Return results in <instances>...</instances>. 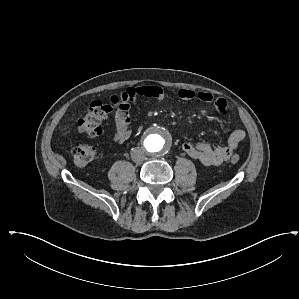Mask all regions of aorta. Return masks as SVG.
Here are the masks:
<instances>
[{
	"mask_svg": "<svg viewBox=\"0 0 299 299\" xmlns=\"http://www.w3.org/2000/svg\"><path fill=\"white\" fill-rule=\"evenodd\" d=\"M144 147L148 154L159 155L168 147V139L159 131L150 133L144 140Z\"/></svg>",
	"mask_w": 299,
	"mask_h": 299,
	"instance_id": "aorta-1",
	"label": "aorta"
}]
</instances>
